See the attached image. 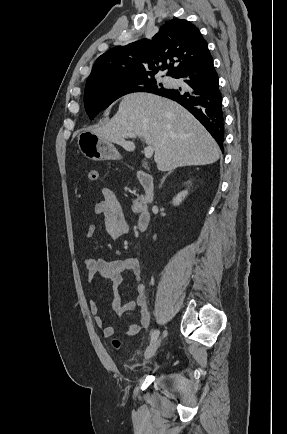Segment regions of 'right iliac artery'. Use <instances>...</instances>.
<instances>
[{
    "mask_svg": "<svg viewBox=\"0 0 287 434\" xmlns=\"http://www.w3.org/2000/svg\"><path fill=\"white\" fill-rule=\"evenodd\" d=\"M158 335H159V330L158 329L154 330L151 334V342L156 340Z\"/></svg>",
    "mask_w": 287,
    "mask_h": 434,
    "instance_id": "obj_1",
    "label": "right iliac artery"
}]
</instances>
